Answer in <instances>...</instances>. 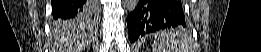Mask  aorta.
<instances>
[{"label":"aorta","instance_id":"obj_1","mask_svg":"<svg viewBox=\"0 0 261 52\" xmlns=\"http://www.w3.org/2000/svg\"><path fill=\"white\" fill-rule=\"evenodd\" d=\"M139 0H124V5L127 11L133 12L138 5Z\"/></svg>","mask_w":261,"mask_h":52}]
</instances>
